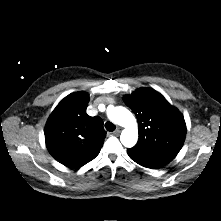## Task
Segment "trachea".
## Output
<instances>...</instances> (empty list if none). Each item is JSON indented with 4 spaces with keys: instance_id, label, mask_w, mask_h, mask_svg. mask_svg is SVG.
<instances>
[{
    "instance_id": "obj_1",
    "label": "trachea",
    "mask_w": 221,
    "mask_h": 221,
    "mask_svg": "<svg viewBox=\"0 0 221 221\" xmlns=\"http://www.w3.org/2000/svg\"><path fill=\"white\" fill-rule=\"evenodd\" d=\"M105 128L108 130V131H110V132H112V131H114L115 130V125L113 124V123H111V122H106L105 123Z\"/></svg>"
}]
</instances>
